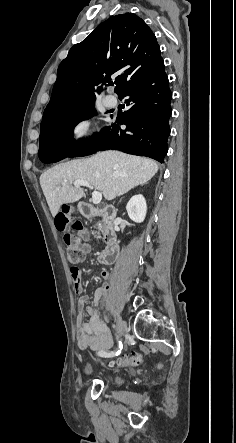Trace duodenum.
<instances>
[{"mask_svg":"<svg viewBox=\"0 0 236 443\" xmlns=\"http://www.w3.org/2000/svg\"><path fill=\"white\" fill-rule=\"evenodd\" d=\"M81 215L84 218L99 217L105 221L103 237L107 243L106 248L99 253V260L104 265H111L118 255V234L113 225V220L118 215V209L114 206L96 207L91 202H84L80 206Z\"/></svg>","mask_w":236,"mask_h":443,"instance_id":"duodenum-1","label":"duodenum"}]
</instances>
